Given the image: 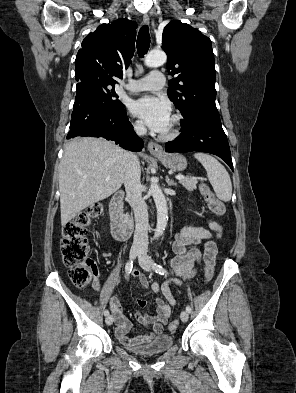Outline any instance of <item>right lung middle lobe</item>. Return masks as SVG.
Masks as SVG:
<instances>
[{
	"mask_svg": "<svg viewBox=\"0 0 296 393\" xmlns=\"http://www.w3.org/2000/svg\"><path fill=\"white\" fill-rule=\"evenodd\" d=\"M77 81L88 85L112 109L122 110L124 108V105L118 100L113 84L94 77H85L77 79ZM111 87L113 88L111 89Z\"/></svg>",
	"mask_w": 296,
	"mask_h": 393,
	"instance_id": "dd1d6c3e",
	"label": "right lung middle lobe"
}]
</instances>
